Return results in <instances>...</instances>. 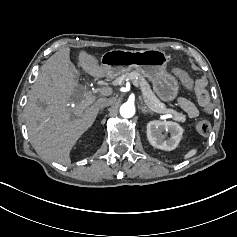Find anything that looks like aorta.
I'll use <instances>...</instances> for the list:
<instances>
[{"label":"aorta","mask_w":237,"mask_h":237,"mask_svg":"<svg viewBox=\"0 0 237 237\" xmlns=\"http://www.w3.org/2000/svg\"><path fill=\"white\" fill-rule=\"evenodd\" d=\"M119 112H120L121 117L127 118V119L131 118L135 114V106L133 104L126 102L120 107Z\"/></svg>","instance_id":"1"}]
</instances>
